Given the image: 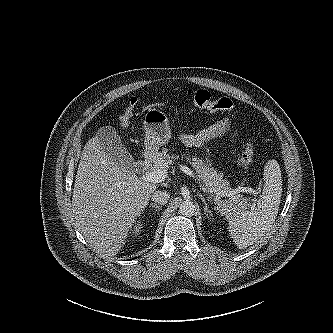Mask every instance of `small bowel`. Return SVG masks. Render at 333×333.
Returning a JSON list of instances; mask_svg holds the SVG:
<instances>
[{"label": "small bowel", "instance_id": "small-bowel-1", "mask_svg": "<svg viewBox=\"0 0 333 333\" xmlns=\"http://www.w3.org/2000/svg\"><path fill=\"white\" fill-rule=\"evenodd\" d=\"M227 133L231 134V138L233 140L238 134L233 122L229 118H223L215 124L196 133L191 134L181 132L178 135V138L185 146L200 148L206 146L211 140L221 137Z\"/></svg>", "mask_w": 333, "mask_h": 333}]
</instances>
